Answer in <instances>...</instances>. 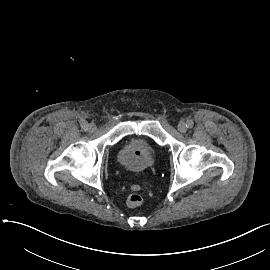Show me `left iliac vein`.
Wrapping results in <instances>:
<instances>
[{
	"instance_id": "obj_1",
	"label": "left iliac vein",
	"mask_w": 270,
	"mask_h": 270,
	"mask_svg": "<svg viewBox=\"0 0 270 270\" xmlns=\"http://www.w3.org/2000/svg\"><path fill=\"white\" fill-rule=\"evenodd\" d=\"M178 130L181 132V133H185L187 131V126H186V123L184 121H180L178 123Z\"/></svg>"
}]
</instances>
